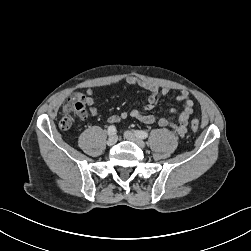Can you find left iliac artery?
I'll list each match as a JSON object with an SVG mask.
<instances>
[{
	"mask_svg": "<svg viewBox=\"0 0 251 251\" xmlns=\"http://www.w3.org/2000/svg\"><path fill=\"white\" fill-rule=\"evenodd\" d=\"M135 134L142 139H146L148 137V132L143 130H136Z\"/></svg>",
	"mask_w": 251,
	"mask_h": 251,
	"instance_id": "1",
	"label": "left iliac artery"
}]
</instances>
